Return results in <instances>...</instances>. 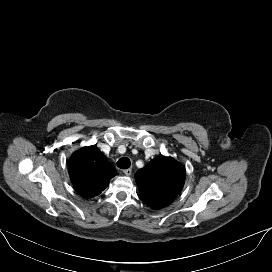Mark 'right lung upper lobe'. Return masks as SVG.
I'll return each mask as SVG.
<instances>
[{
  "label": "right lung upper lobe",
  "instance_id": "obj_1",
  "mask_svg": "<svg viewBox=\"0 0 272 272\" xmlns=\"http://www.w3.org/2000/svg\"><path fill=\"white\" fill-rule=\"evenodd\" d=\"M68 169L75 190L87 199L99 195L117 175L115 167L95 146L83 147L73 153Z\"/></svg>",
  "mask_w": 272,
  "mask_h": 272
}]
</instances>
